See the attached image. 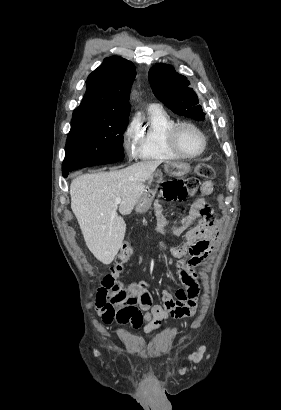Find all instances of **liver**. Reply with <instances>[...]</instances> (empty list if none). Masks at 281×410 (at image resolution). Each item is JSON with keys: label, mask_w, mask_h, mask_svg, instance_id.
<instances>
[{"label": "liver", "mask_w": 281, "mask_h": 410, "mask_svg": "<svg viewBox=\"0 0 281 410\" xmlns=\"http://www.w3.org/2000/svg\"><path fill=\"white\" fill-rule=\"evenodd\" d=\"M160 163L143 161L121 170L84 174L71 182V209L88 249L103 264L113 261L124 240L126 224L117 210L122 215L132 212Z\"/></svg>", "instance_id": "1"}]
</instances>
